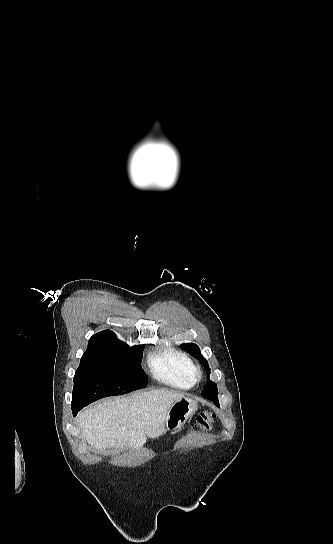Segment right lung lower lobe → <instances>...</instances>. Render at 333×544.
<instances>
[{"instance_id": "obj_1", "label": "right lung lower lobe", "mask_w": 333, "mask_h": 544, "mask_svg": "<svg viewBox=\"0 0 333 544\" xmlns=\"http://www.w3.org/2000/svg\"><path fill=\"white\" fill-rule=\"evenodd\" d=\"M81 409H82V408H80V407H72V411H73L74 416H75Z\"/></svg>"}]
</instances>
